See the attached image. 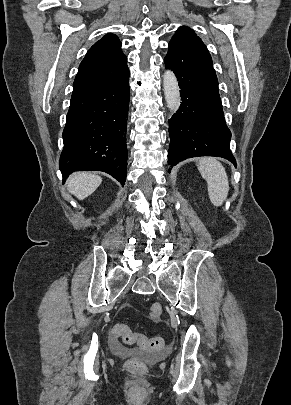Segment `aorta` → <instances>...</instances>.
<instances>
[{
    "mask_svg": "<svg viewBox=\"0 0 291 405\" xmlns=\"http://www.w3.org/2000/svg\"><path fill=\"white\" fill-rule=\"evenodd\" d=\"M163 90L167 107L175 113L181 103L177 78L172 70H166L163 75Z\"/></svg>",
    "mask_w": 291,
    "mask_h": 405,
    "instance_id": "762f6f07",
    "label": "aorta"
}]
</instances>
